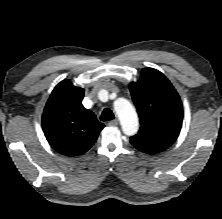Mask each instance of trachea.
<instances>
[{
	"mask_svg": "<svg viewBox=\"0 0 222 219\" xmlns=\"http://www.w3.org/2000/svg\"><path fill=\"white\" fill-rule=\"evenodd\" d=\"M114 118L115 117H114L113 112L110 109L106 108L102 111L100 120L101 121H110V120H113Z\"/></svg>",
	"mask_w": 222,
	"mask_h": 219,
	"instance_id": "3493384b",
	"label": "trachea"
}]
</instances>
